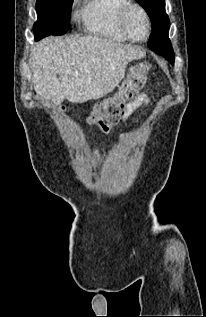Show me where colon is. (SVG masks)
<instances>
[{
    "mask_svg": "<svg viewBox=\"0 0 206 317\" xmlns=\"http://www.w3.org/2000/svg\"><path fill=\"white\" fill-rule=\"evenodd\" d=\"M149 68L146 61L131 67L117 92L95 106L89 122L104 133L116 125L125 114L127 103L136 98L146 84Z\"/></svg>",
    "mask_w": 206,
    "mask_h": 317,
    "instance_id": "obj_1",
    "label": "colon"
}]
</instances>
